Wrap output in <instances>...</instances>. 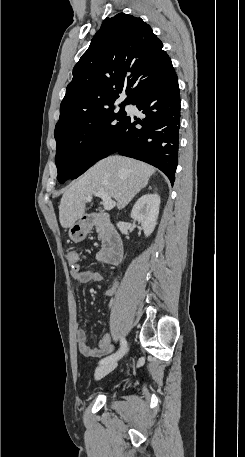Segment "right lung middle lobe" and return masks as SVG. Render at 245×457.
Instances as JSON below:
<instances>
[{
  "instance_id": "obj_1",
  "label": "right lung middle lobe",
  "mask_w": 245,
  "mask_h": 457,
  "mask_svg": "<svg viewBox=\"0 0 245 457\" xmlns=\"http://www.w3.org/2000/svg\"><path fill=\"white\" fill-rule=\"evenodd\" d=\"M126 104L128 101H123L116 112L112 103L55 128V161L60 183L77 178L112 153L126 118Z\"/></svg>"
}]
</instances>
